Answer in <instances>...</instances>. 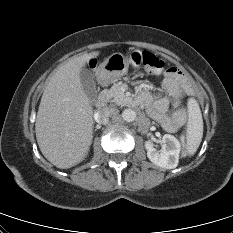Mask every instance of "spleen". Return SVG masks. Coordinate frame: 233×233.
<instances>
[{
  "label": "spleen",
  "instance_id": "spleen-1",
  "mask_svg": "<svg viewBox=\"0 0 233 233\" xmlns=\"http://www.w3.org/2000/svg\"><path fill=\"white\" fill-rule=\"evenodd\" d=\"M187 107L188 122L186 128L185 150L188 155L193 156L203 137V119L201 110L195 99H189Z\"/></svg>",
  "mask_w": 233,
  "mask_h": 233
}]
</instances>
